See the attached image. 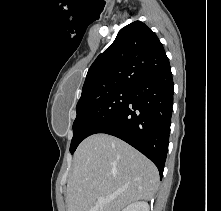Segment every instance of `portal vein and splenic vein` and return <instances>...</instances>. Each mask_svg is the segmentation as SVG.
<instances>
[{
	"label": "portal vein and splenic vein",
	"mask_w": 221,
	"mask_h": 211,
	"mask_svg": "<svg viewBox=\"0 0 221 211\" xmlns=\"http://www.w3.org/2000/svg\"><path fill=\"white\" fill-rule=\"evenodd\" d=\"M112 199H113V196H110V197H108V198L99 197V198L97 199V204H98L99 206H101V205H103V204H105V203H107V202H110Z\"/></svg>",
	"instance_id": "obj_1"
}]
</instances>
